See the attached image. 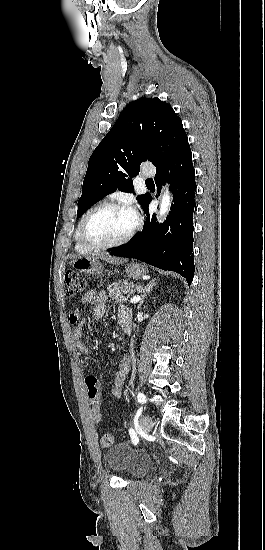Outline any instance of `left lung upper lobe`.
I'll use <instances>...</instances> for the list:
<instances>
[{
	"label": "left lung upper lobe",
	"mask_w": 265,
	"mask_h": 550,
	"mask_svg": "<svg viewBox=\"0 0 265 550\" xmlns=\"http://www.w3.org/2000/svg\"><path fill=\"white\" fill-rule=\"evenodd\" d=\"M188 141L181 119L159 98H139L128 104L92 153L78 201L77 217L116 189L133 192L140 164L156 170ZM145 210L151 196L137 197Z\"/></svg>",
	"instance_id": "1"
}]
</instances>
